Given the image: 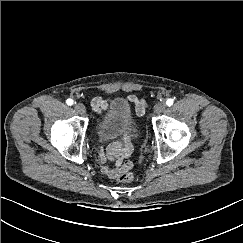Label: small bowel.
Returning <instances> with one entry per match:
<instances>
[{
    "label": "small bowel",
    "mask_w": 243,
    "mask_h": 243,
    "mask_svg": "<svg viewBox=\"0 0 243 243\" xmlns=\"http://www.w3.org/2000/svg\"><path fill=\"white\" fill-rule=\"evenodd\" d=\"M128 101L135 105V110L137 115H144L147 104L145 100L136 97L135 95L128 96ZM91 108L98 115L102 116L109 107L107 100L101 97H95L91 100ZM134 130L125 133L123 143H115L109 146L106 150L102 147L99 151L100 161H101V171L110 179H116L122 174L128 167L130 162L124 161L132 153V139L131 136ZM111 162L112 165L107 164Z\"/></svg>",
    "instance_id": "c3829d8e"
}]
</instances>
